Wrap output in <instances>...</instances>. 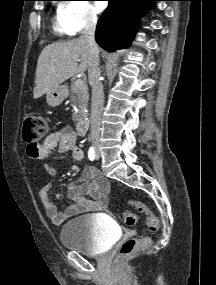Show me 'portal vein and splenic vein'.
<instances>
[{
  "mask_svg": "<svg viewBox=\"0 0 216 285\" xmlns=\"http://www.w3.org/2000/svg\"><path fill=\"white\" fill-rule=\"evenodd\" d=\"M83 83H84V80H83V79H77V80L75 81V85H76L77 87L82 86Z\"/></svg>",
  "mask_w": 216,
  "mask_h": 285,
  "instance_id": "obj_1",
  "label": "portal vein and splenic vein"
}]
</instances>
